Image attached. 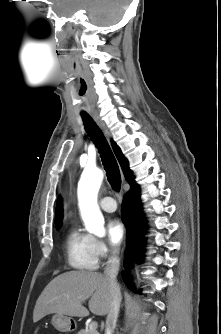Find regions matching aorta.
Segmentation results:
<instances>
[{
	"instance_id": "762f6f07",
	"label": "aorta",
	"mask_w": 221,
	"mask_h": 334,
	"mask_svg": "<svg viewBox=\"0 0 221 334\" xmlns=\"http://www.w3.org/2000/svg\"><path fill=\"white\" fill-rule=\"evenodd\" d=\"M103 172L98 169H85L78 183L79 209L86 230L98 237L105 236L104 217L97 203V195L103 181Z\"/></svg>"
}]
</instances>
